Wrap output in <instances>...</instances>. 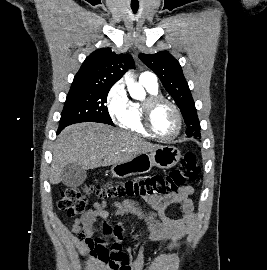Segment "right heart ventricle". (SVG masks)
Listing matches in <instances>:
<instances>
[{
	"mask_svg": "<svg viewBox=\"0 0 267 270\" xmlns=\"http://www.w3.org/2000/svg\"><path fill=\"white\" fill-rule=\"evenodd\" d=\"M140 83L147 91L148 96L159 94L158 85H153L142 81H140ZM141 109L142 102L130 101L127 113L119 122V124L123 129L129 132H132L142 137L150 138L151 135L146 131L142 124Z\"/></svg>",
	"mask_w": 267,
	"mask_h": 270,
	"instance_id": "right-heart-ventricle-1",
	"label": "right heart ventricle"
}]
</instances>
